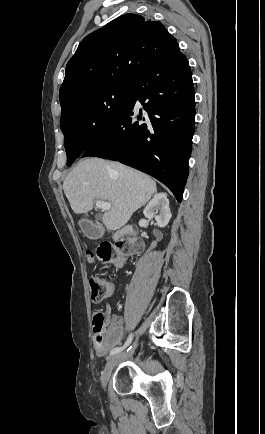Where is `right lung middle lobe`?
I'll list each match as a JSON object with an SVG mask.
<instances>
[{
  "instance_id": "obj_1",
  "label": "right lung middle lobe",
  "mask_w": 265,
  "mask_h": 434,
  "mask_svg": "<svg viewBox=\"0 0 265 434\" xmlns=\"http://www.w3.org/2000/svg\"><path fill=\"white\" fill-rule=\"evenodd\" d=\"M134 80L108 77L72 88L59 96L60 127L65 136L68 166L122 117L132 99Z\"/></svg>"
}]
</instances>
